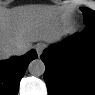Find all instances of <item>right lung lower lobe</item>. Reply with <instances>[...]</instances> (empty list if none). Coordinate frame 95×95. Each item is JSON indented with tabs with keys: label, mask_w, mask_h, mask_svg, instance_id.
Here are the masks:
<instances>
[{
	"label": "right lung lower lobe",
	"mask_w": 95,
	"mask_h": 95,
	"mask_svg": "<svg viewBox=\"0 0 95 95\" xmlns=\"http://www.w3.org/2000/svg\"><path fill=\"white\" fill-rule=\"evenodd\" d=\"M37 57L35 50L24 56L13 57L0 63V81L2 95H16L19 83L29 63Z\"/></svg>",
	"instance_id": "right-lung-lower-lobe-1"
}]
</instances>
